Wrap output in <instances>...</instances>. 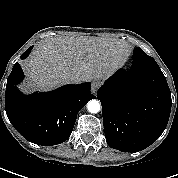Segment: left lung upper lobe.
Here are the masks:
<instances>
[{
	"mask_svg": "<svg viewBox=\"0 0 178 178\" xmlns=\"http://www.w3.org/2000/svg\"><path fill=\"white\" fill-rule=\"evenodd\" d=\"M148 55L141 49V48H135L133 52V60L138 58H144Z\"/></svg>",
	"mask_w": 178,
	"mask_h": 178,
	"instance_id": "obj_1",
	"label": "left lung upper lobe"
}]
</instances>
